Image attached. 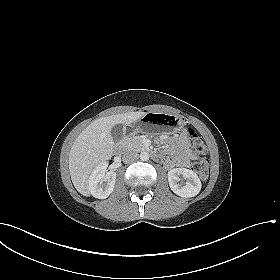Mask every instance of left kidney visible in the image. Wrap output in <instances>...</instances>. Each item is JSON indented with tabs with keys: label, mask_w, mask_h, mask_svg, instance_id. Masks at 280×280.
<instances>
[{
	"label": "left kidney",
	"mask_w": 280,
	"mask_h": 280,
	"mask_svg": "<svg viewBox=\"0 0 280 280\" xmlns=\"http://www.w3.org/2000/svg\"><path fill=\"white\" fill-rule=\"evenodd\" d=\"M180 176H182L186 182L185 184L179 183ZM168 182L171 190L181 197H194L199 194L201 190V181L197 174L192 170L186 168H175L168 172Z\"/></svg>",
	"instance_id": "left-kidney-1"
}]
</instances>
